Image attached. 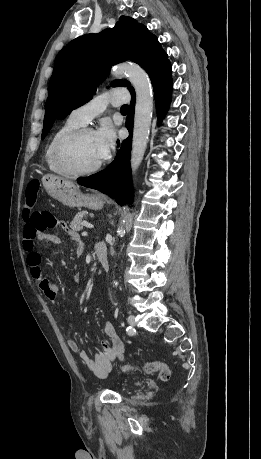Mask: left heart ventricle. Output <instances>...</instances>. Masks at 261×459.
<instances>
[{
    "instance_id": "1",
    "label": "left heart ventricle",
    "mask_w": 261,
    "mask_h": 459,
    "mask_svg": "<svg viewBox=\"0 0 261 459\" xmlns=\"http://www.w3.org/2000/svg\"><path fill=\"white\" fill-rule=\"evenodd\" d=\"M67 161L76 169H88L101 161L94 134H85L68 149Z\"/></svg>"
}]
</instances>
